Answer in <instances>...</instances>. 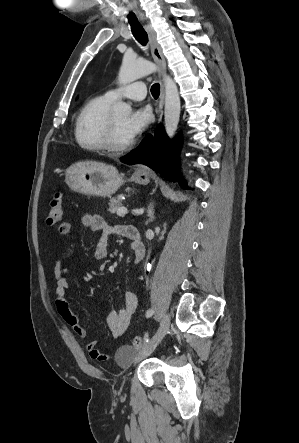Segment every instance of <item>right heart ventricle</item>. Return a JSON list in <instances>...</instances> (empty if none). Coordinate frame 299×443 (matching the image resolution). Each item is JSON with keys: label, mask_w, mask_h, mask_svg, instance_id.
<instances>
[{"label": "right heart ventricle", "mask_w": 299, "mask_h": 443, "mask_svg": "<svg viewBox=\"0 0 299 443\" xmlns=\"http://www.w3.org/2000/svg\"><path fill=\"white\" fill-rule=\"evenodd\" d=\"M112 100L106 95L97 96L85 103L74 126L75 141L83 150L104 152V136Z\"/></svg>", "instance_id": "right-heart-ventricle-1"}]
</instances>
